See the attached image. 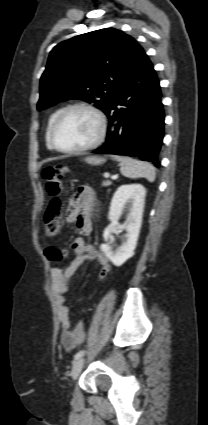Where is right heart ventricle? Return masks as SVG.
I'll return each mask as SVG.
<instances>
[{
  "label": "right heart ventricle",
  "mask_w": 208,
  "mask_h": 425,
  "mask_svg": "<svg viewBox=\"0 0 208 425\" xmlns=\"http://www.w3.org/2000/svg\"><path fill=\"white\" fill-rule=\"evenodd\" d=\"M59 110L55 111L54 113H52L48 119L47 122V126H46V131H45V140H46V145L49 149H52L50 142H49V132H50V127L51 124L53 122V120L55 119L56 115L58 114Z\"/></svg>",
  "instance_id": "obj_1"
}]
</instances>
